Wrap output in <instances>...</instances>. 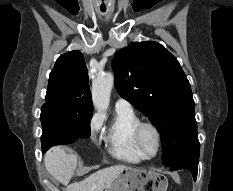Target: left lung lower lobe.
I'll return each instance as SVG.
<instances>
[{
  "label": "left lung lower lobe",
  "mask_w": 233,
  "mask_h": 191,
  "mask_svg": "<svg viewBox=\"0 0 233 191\" xmlns=\"http://www.w3.org/2000/svg\"><path fill=\"white\" fill-rule=\"evenodd\" d=\"M198 159L199 156L184 157L170 166V170H189L192 173L194 180H196L198 172Z\"/></svg>",
  "instance_id": "left-lung-lower-lobe-1"
}]
</instances>
